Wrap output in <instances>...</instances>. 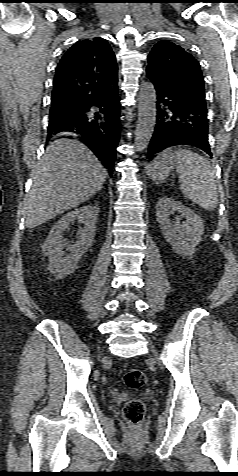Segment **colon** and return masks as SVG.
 Masks as SVG:
<instances>
[{
    "instance_id": "colon-1",
    "label": "colon",
    "mask_w": 238,
    "mask_h": 476,
    "mask_svg": "<svg viewBox=\"0 0 238 476\" xmlns=\"http://www.w3.org/2000/svg\"><path fill=\"white\" fill-rule=\"evenodd\" d=\"M124 382L129 388H141L146 383V376L140 369H130L124 374ZM144 411V404L138 399L129 400L123 408L125 419L132 425L142 421Z\"/></svg>"
}]
</instances>
